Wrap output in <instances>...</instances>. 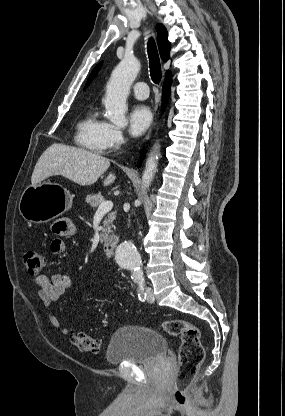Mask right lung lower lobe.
<instances>
[{
	"label": "right lung lower lobe",
	"mask_w": 285,
	"mask_h": 416,
	"mask_svg": "<svg viewBox=\"0 0 285 416\" xmlns=\"http://www.w3.org/2000/svg\"><path fill=\"white\" fill-rule=\"evenodd\" d=\"M171 86V76L166 78V81L164 83V91H163V106H165L167 98H168V94L166 92V90H169Z\"/></svg>",
	"instance_id": "98d812e1"
}]
</instances>
